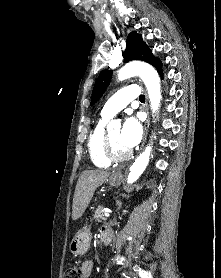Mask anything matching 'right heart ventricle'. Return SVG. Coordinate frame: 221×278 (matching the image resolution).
<instances>
[{
  "mask_svg": "<svg viewBox=\"0 0 221 278\" xmlns=\"http://www.w3.org/2000/svg\"><path fill=\"white\" fill-rule=\"evenodd\" d=\"M108 118L101 115V118L90 131L87 147L92 163L100 168L110 166V161L103 153V141L105 135V123Z\"/></svg>",
  "mask_w": 221,
  "mask_h": 278,
  "instance_id": "obj_1",
  "label": "right heart ventricle"
}]
</instances>
